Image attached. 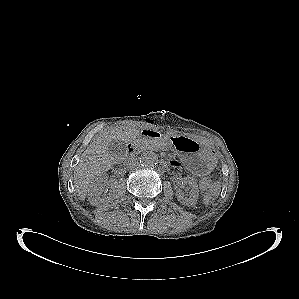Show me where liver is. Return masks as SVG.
<instances>
[{"mask_svg": "<svg viewBox=\"0 0 299 299\" xmlns=\"http://www.w3.org/2000/svg\"><path fill=\"white\" fill-rule=\"evenodd\" d=\"M139 134L134 127H115L102 131L89 144L74 170V187L79 200L84 201L90 184L110 170L116 163L117 155L109 151L112 141L127 143Z\"/></svg>", "mask_w": 299, "mask_h": 299, "instance_id": "6515ba94", "label": "liver"}]
</instances>
